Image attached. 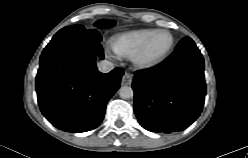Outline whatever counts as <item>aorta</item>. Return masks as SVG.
Segmentation results:
<instances>
[{"instance_id": "obj_1", "label": "aorta", "mask_w": 248, "mask_h": 158, "mask_svg": "<svg viewBox=\"0 0 248 158\" xmlns=\"http://www.w3.org/2000/svg\"><path fill=\"white\" fill-rule=\"evenodd\" d=\"M119 95L122 99H129L133 97L134 92L130 86H122L119 89Z\"/></svg>"}]
</instances>
